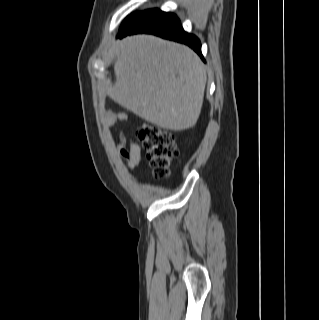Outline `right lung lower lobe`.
Wrapping results in <instances>:
<instances>
[{
  "mask_svg": "<svg viewBox=\"0 0 319 320\" xmlns=\"http://www.w3.org/2000/svg\"><path fill=\"white\" fill-rule=\"evenodd\" d=\"M136 33H152L166 39L184 43L190 46L203 59L199 39L194 35L186 33L179 19L171 13L160 12L134 28L120 29L118 37L121 38L128 34Z\"/></svg>",
  "mask_w": 319,
  "mask_h": 320,
  "instance_id": "1",
  "label": "right lung lower lobe"
}]
</instances>
